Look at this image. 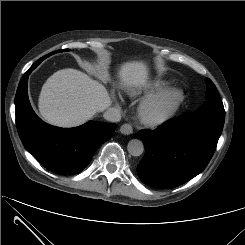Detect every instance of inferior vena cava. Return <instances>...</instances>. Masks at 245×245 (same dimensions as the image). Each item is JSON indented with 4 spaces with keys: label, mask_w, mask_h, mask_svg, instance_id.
Listing matches in <instances>:
<instances>
[{
    "label": "inferior vena cava",
    "mask_w": 245,
    "mask_h": 245,
    "mask_svg": "<svg viewBox=\"0 0 245 245\" xmlns=\"http://www.w3.org/2000/svg\"><path fill=\"white\" fill-rule=\"evenodd\" d=\"M103 117L110 122H119L121 120V112L115 107L108 108Z\"/></svg>",
    "instance_id": "obj_1"
}]
</instances>
